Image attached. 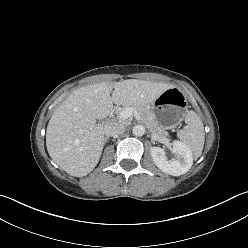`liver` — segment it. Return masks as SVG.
I'll list each match as a JSON object with an SVG mask.
<instances>
[{"mask_svg":"<svg viewBox=\"0 0 248 248\" xmlns=\"http://www.w3.org/2000/svg\"><path fill=\"white\" fill-rule=\"evenodd\" d=\"M171 87L166 83L128 79L74 90L49 120L46 146L50 157L71 176L88 175L96 167L105 143L104 126L97 124L96 119L107 117L113 103L144 106Z\"/></svg>","mask_w":248,"mask_h":248,"instance_id":"6515ba94","label":"liver"}]
</instances>
